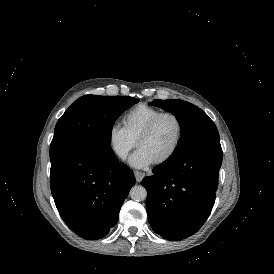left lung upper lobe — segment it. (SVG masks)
<instances>
[{
    "mask_svg": "<svg viewBox=\"0 0 274 274\" xmlns=\"http://www.w3.org/2000/svg\"><path fill=\"white\" fill-rule=\"evenodd\" d=\"M174 114L181 127V137L172 155L164 162L184 157L196 150L221 147L214 122L197 106L177 99L150 103Z\"/></svg>",
    "mask_w": 274,
    "mask_h": 274,
    "instance_id": "left-lung-upper-lobe-1",
    "label": "left lung upper lobe"
}]
</instances>
